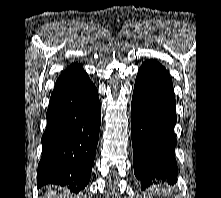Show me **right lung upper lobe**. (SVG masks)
<instances>
[{"label": "right lung upper lobe", "instance_id": "obj_1", "mask_svg": "<svg viewBox=\"0 0 221 198\" xmlns=\"http://www.w3.org/2000/svg\"><path fill=\"white\" fill-rule=\"evenodd\" d=\"M82 72H84L82 66L78 63H73L72 65L67 67V69L61 74V76H59L56 81L55 87L73 79Z\"/></svg>", "mask_w": 221, "mask_h": 198}]
</instances>
